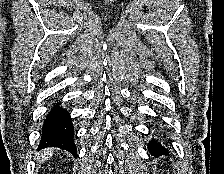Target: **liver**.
Wrapping results in <instances>:
<instances>
[{"label": "liver", "mask_w": 224, "mask_h": 174, "mask_svg": "<svg viewBox=\"0 0 224 174\" xmlns=\"http://www.w3.org/2000/svg\"><path fill=\"white\" fill-rule=\"evenodd\" d=\"M53 154V149H45L41 151V155L39 156V161H45Z\"/></svg>", "instance_id": "6515ba94"}]
</instances>
